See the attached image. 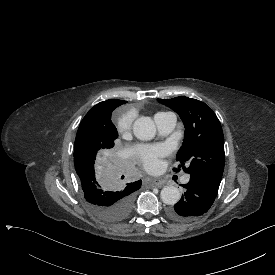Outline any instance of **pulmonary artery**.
<instances>
[{
	"label": "pulmonary artery",
	"mask_w": 275,
	"mask_h": 275,
	"mask_svg": "<svg viewBox=\"0 0 275 275\" xmlns=\"http://www.w3.org/2000/svg\"><path fill=\"white\" fill-rule=\"evenodd\" d=\"M154 121L157 125V128L161 134L170 133L176 125V116L173 113H158L154 117ZM190 180L188 174L184 175L181 179V182L186 184Z\"/></svg>",
	"instance_id": "pulmonary-artery-1"
}]
</instances>
